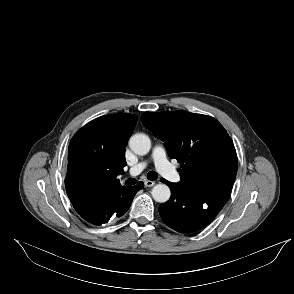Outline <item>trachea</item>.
<instances>
[{
    "instance_id": "trachea-1",
    "label": "trachea",
    "mask_w": 294,
    "mask_h": 294,
    "mask_svg": "<svg viewBox=\"0 0 294 294\" xmlns=\"http://www.w3.org/2000/svg\"><path fill=\"white\" fill-rule=\"evenodd\" d=\"M147 178L149 179V180H151V181H154V180H156L157 178H158V174L155 172V171H150L148 174H147ZM136 179H134V178H129V179H127L126 180V182H125V184L126 185H134V184H136Z\"/></svg>"
}]
</instances>
